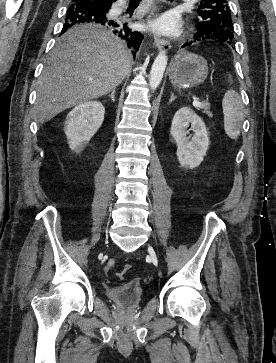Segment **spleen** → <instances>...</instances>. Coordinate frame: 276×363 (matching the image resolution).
Listing matches in <instances>:
<instances>
[{
	"instance_id": "1",
	"label": "spleen",
	"mask_w": 276,
	"mask_h": 363,
	"mask_svg": "<svg viewBox=\"0 0 276 363\" xmlns=\"http://www.w3.org/2000/svg\"><path fill=\"white\" fill-rule=\"evenodd\" d=\"M229 82H232L230 75ZM222 108L224 114V130L230 138L236 139L240 134L244 120V106L239 94L233 89L226 91L222 100Z\"/></svg>"
}]
</instances>
